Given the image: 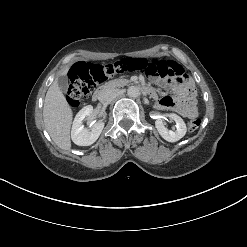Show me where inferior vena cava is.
Instances as JSON below:
<instances>
[{"instance_id": "1", "label": "inferior vena cava", "mask_w": 247, "mask_h": 247, "mask_svg": "<svg viewBox=\"0 0 247 247\" xmlns=\"http://www.w3.org/2000/svg\"><path fill=\"white\" fill-rule=\"evenodd\" d=\"M118 94L117 89H106L101 92L99 100L106 102L112 100Z\"/></svg>"}]
</instances>
